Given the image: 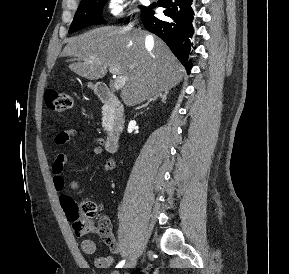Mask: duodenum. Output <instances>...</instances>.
I'll list each match as a JSON object with an SVG mask.
<instances>
[{"instance_id": "410a0bca", "label": "duodenum", "mask_w": 289, "mask_h": 274, "mask_svg": "<svg viewBox=\"0 0 289 274\" xmlns=\"http://www.w3.org/2000/svg\"><path fill=\"white\" fill-rule=\"evenodd\" d=\"M96 94L103 103L105 110L112 118L111 130L104 142L106 151L115 153L119 148L120 134L124 122L123 108L111 91V89L103 83L95 86Z\"/></svg>"}]
</instances>
